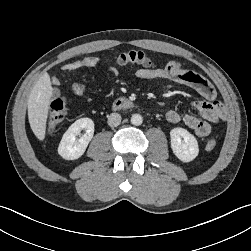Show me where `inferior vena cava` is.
<instances>
[{
    "instance_id": "602c4592",
    "label": "inferior vena cava",
    "mask_w": 251,
    "mask_h": 251,
    "mask_svg": "<svg viewBox=\"0 0 251 251\" xmlns=\"http://www.w3.org/2000/svg\"><path fill=\"white\" fill-rule=\"evenodd\" d=\"M121 123V116L118 113H111L108 116V125L110 127H117Z\"/></svg>"
}]
</instances>
